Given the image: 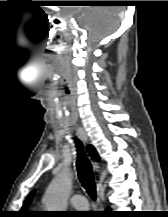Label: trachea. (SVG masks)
Returning a JSON list of instances; mask_svg holds the SVG:
<instances>
[{
    "instance_id": "3493384b",
    "label": "trachea",
    "mask_w": 168,
    "mask_h": 217,
    "mask_svg": "<svg viewBox=\"0 0 168 217\" xmlns=\"http://www.w3.org/2000/svg\"><path fill=\"white\" fill-rule=\"evenodd\" d=\"M75 143L78 149L77 162H76L78 178L82 186L88 193V195L95 200L96 186L94 182L93 169L91 163L89 159L86 157V154L83 152L82 142L76 139Z\"/></svg>"
}]
</instances>
